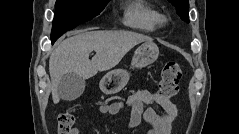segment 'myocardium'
Returning a JSON list of instances; mask_svg holds the SVG:
<instances>
[{
  "label": "myocardium",
  "instance_id": "myocardium-1",
  "mask_svg": "<svg viewBox=\"0 0 239 134\" xmlns=\"http://www.w3.org/2000/svg\"><path fill=\"white\" fill-rule=\"evenodd\" d=\"M165 21H166V19H165L164 17H160V18H159V22H160V23H164Z\"/></svg>",
  "mask_w": 239,
  "mask_h": 134
}]
</instances>
